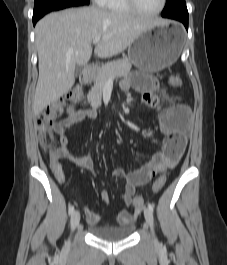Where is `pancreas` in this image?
<instances>
[{"label":"pancreas","mask_w":227,"mask_h":265,"mask_svg":"<svg viewBox=\"0 0 227 265\" xmlns=\"http://www.w3.org/2000/svg\"><path fill=\"white\" fill-rule=\"evenodd\" d=\"M131 70V63L128 59H118L102 65L96 74L94 86L88 94L93 103H100L102 89L109 79L119 78L128 75Z\"/></svg>","instance_id":"pancreas-1"}]
</instances>
